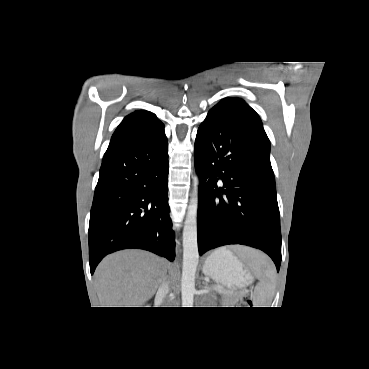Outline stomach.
Here are the masks:
<instances>
[{"mask_svg":"<svg viewBox=\"0 0 369 369\" xmlns=\"http://www.w3.org/2000/svg\"><path fill=\"white\" fill-rule=\"evenodd\" d=\"M203 272L228 288H240L252 281V276L243 263L225 247L207 257Z\"/></svg>","mask_w":369,"mask_h":369,"instance_id":"1","label":"stomach"}]
</instances>
